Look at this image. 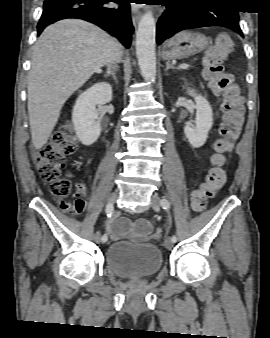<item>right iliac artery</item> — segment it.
Listing matches in <instances>:
<instances>
[{
    "label": "right iliac artery",
    "instance_id": "82829eb1",
    "mask_svg": "<svg viewBox=\"0 0 270 338\" xmlns=\"http://www.w3.org/2000/svg\"><path fill=\"white\" fill-rule=\"evenodd\" d=\"M113 210H114V207H113V204H112V203H109V204L106 205L105 211H106V215H107L108 218L111 217V215H112V213H113ZM107 239H108L107 234H104V235L102 236V241H103V242H106Z\"/></svg>",
    "mask_w": 270,
    "mask_h": 338
}]
</instances>
